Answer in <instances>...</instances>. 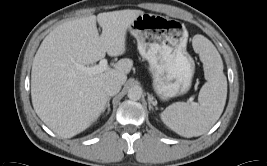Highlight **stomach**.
<instances>
[{
  "instance_id": "obj_1",
  "label": "stomach",
  "mask_w": 267,
  "mask_h": 166,
  "mask_svg": "<svg viewBox=\"0 0 267 166\" xmlns=\"http://www.w3.org/2000/svg\"><path fill=\"white\" fill-rule=\"evenodd\" d=\"M140 55L149 63L153 88L161 100L185 94L191 87L195 64L186 50L188 31L174 19L143 13L129 27Z\"/></svg>"
}]
</instances>
